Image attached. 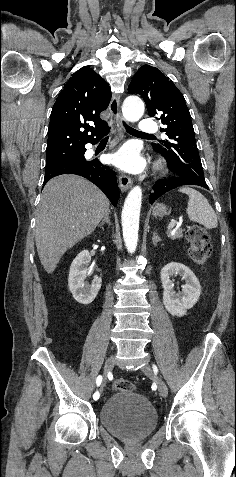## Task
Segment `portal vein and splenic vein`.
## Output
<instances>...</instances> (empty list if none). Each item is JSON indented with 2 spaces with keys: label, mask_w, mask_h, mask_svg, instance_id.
Returning a JSON list of instances; mask_svg holds the SVG:
<instances>
[{
  "label": "portal vein and splenic vein",
  "mask_w": 236,
  "mask_h": 477,
  "mask_svg": "<svg viewBox=\"0 0 236 477\" xmlns=\"http://www.w3.org/2000/svg\"><path fill=\"white\" fill-rule=\"evenodd\" d=\"M182 224V221H176V222H171L168 227H167V230L171 231H176Z\"/></svg>",
  "instance_id": "portal-vein-and-splenic-vein-1"
}]
</instances>
